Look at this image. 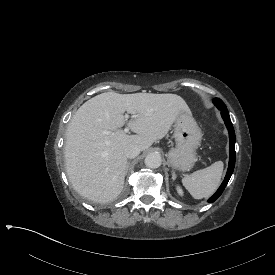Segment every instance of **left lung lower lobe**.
Wrapping results in <instances>:
<instances>
[{
  "label": "left lung lower lobe",
  "instance_id": "obj_1",
  "mask_svg": "<svg viewBox=\"0 0 275 275\" xmlns=\"http://www.w3.org/2000/svg\"><path fill=\"white\" fill-rule=\"evenodd\" d=\"M221 115H222V118L226 124L228 131H229L230 158H229V166H228V170H227L225 179H224L223 183L221 184V186L219 187V189L216 191V193L209 199L208 202H210V203L217 200L220 197V195L223 193V191H224V189L233 173L234 166H235V132H234V128L231 123L229 113L225 112V111H221Z\"/></svg>",
  "mask_w": 275,
  "mask_h": 275
}]
</instances>
